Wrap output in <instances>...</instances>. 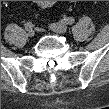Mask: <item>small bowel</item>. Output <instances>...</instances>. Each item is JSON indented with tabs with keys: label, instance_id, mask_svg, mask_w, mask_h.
<instances>
[{
	"label": "small bowel",
	"instance_id": "small-bowel-1",
	"mask_svg": "<svg viewBox=\"0 0 109 109\" xmlns=\"http://www.w3.org/2000/svg\"><path fill=\"white\" fill-rule=\"evenodd\" d=\"M53 5V1H38V6L46 9L50 8Z\"/></svg>",
	"mask_w": 109,
	"mask_h": 109
}]
</instances>
